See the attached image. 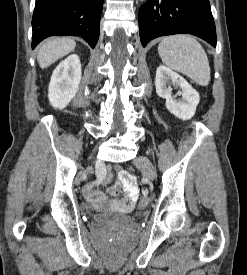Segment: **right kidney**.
Masks as SVG:
<instances>
[{
	"instance_id": "obj_1",
	"label": "right kidney",
	"mask_w": 247,
	"mask_h": 275,
	"mask_svg": "<svg viewBox=\"0 0 247 275\" xmlns=\"http://www.w3.org/2000/svg\"><path fill=\"white\" fill-rule=\"evenodd\" d=\"M79 56L72 54L62 61L53 71L48 98L54 108L63 109L73 99L81 81Z\"/></svg>"
}]
</instances>
